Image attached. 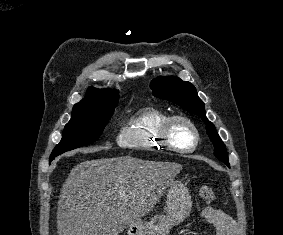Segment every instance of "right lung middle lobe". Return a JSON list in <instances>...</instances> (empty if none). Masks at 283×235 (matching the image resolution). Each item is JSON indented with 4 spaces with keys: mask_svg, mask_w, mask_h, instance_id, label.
Segmentation results:
<instances>
[{
    "mask_svg": "<svg viewBox=\"0 0 283 235\" xmlns=\"http://www.w3.org/2000/svg\"><path fill=\"white\" fill-rule=\"evenodd\" d=\"M117 103L74 105L70 121L65 125L62 139L50 155L56 156L95 142L114 113Z\"/></svg>",
    "mask_w": 283,
    "mask_h": 235,
    "instance_id": "1",
    "label": "right lung middle lobe"
}]
</instances>
